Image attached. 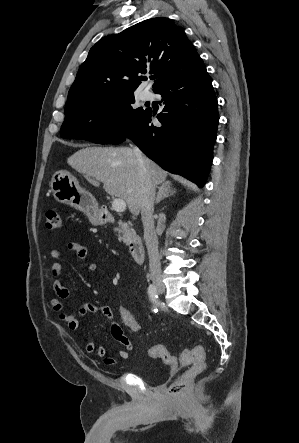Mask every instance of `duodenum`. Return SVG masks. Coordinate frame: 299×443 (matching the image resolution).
Segmentation results:
<instances>
[{
	"mask_svg": "<svg viewBox=\"0 0 299 443\" xmlns=\"http://www.w3.org/2000/svg\"><path fill=\"white\" fill-rule=\"evenodd\" d=\"M103 222H113L114 218L107 209H101L99 214ZM128 249L130 256L136 262H142L144 259V246L141 238L135 237L128 241Z\"/></svg>",
	"mask_w": 299,
	"mask_h": 443,
	"instance_id": "410a0bca",
	"label": "duodenum"
}]
</instances>
